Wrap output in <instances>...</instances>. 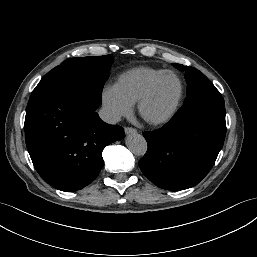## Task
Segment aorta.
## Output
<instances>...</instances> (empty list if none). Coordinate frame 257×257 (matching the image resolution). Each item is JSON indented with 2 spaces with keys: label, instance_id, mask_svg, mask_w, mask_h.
<instances>
[{
  "label": "aorta",
  "instance_id": "762f6f07",
  "mask_svg": "<svg viewBox=\"0 0 257 257\" xmlns=\"http://www.w3.org/2000/svg\"><path fill=\"white\" fill-rule=\"evenodd\" d=\"M126 146L137 156H143L147 151V142L144 137L136 132L126 137Z\"/></svg>",
  "mask_w": 257,
  "mask_h": 257
}]
</instances>
